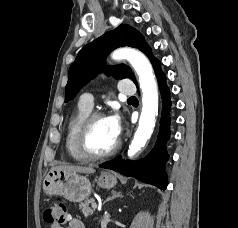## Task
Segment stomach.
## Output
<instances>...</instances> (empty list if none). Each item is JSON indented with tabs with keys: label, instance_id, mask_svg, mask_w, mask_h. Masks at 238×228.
Listing matches in <instances>:
<instances>
[{
	"label": "stomach",
	"instance_id": "obj_1",
	"mask_svg": "<svg viewBox=\"0 0 238 228\" xmlns=\"http://www.w3.org/2000/svg\"><path fill=\"white\" fill-rule=\"evenodd\" d=\"M117 184V177L111 172H101L98 185L111 189ZM43 190L49 195H60L72 202H81L89 197L92 185L86 176L51 170L43 181Z\"/></svg>",
	"mask_w": 238,
	"mask_h": 228
}]
</instances>
